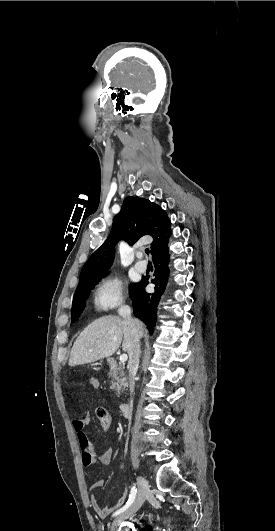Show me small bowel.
I'll return each mask as SVG.
<instances>
[{
	"mask_svg": "<svg viewBox=\"0 0 275 531\" xmlns=\"http://www.w3.org/2000/svg\"><path fill=\"white\" fill-rule=\"evenodd\" d=\"M77 381L80 382L81 385H83V388H88L90 391H98L100 389V384L96 382L97 376L93 373H90L87 376L85 375L81 376L80 379H78ZM88 421H89L88 415H82L74 419L72 422L73 429L77 434L78 443L83 451L84 449L88 447L91 448V442L85 432V427ZM111 459H112V449L106 448L103 451L95 454L89 461V464L101 463V464L107 465L111 462ZM83 460H84V457H83ZM103 486H104L103 479H97L90 486L91 495L89 498V503H90L91 508L94 510V512L97 514V516L100 519H106L112 512L119 509L124 504L126 497H127V493L124 492L115 501H113L109 506L102 507L97 497L94 495V492Z\"/></svg>",
	"mask_w": 275,
	"mask_h": 531,
	"instance_id": "obj_1",
	"label": "small bowel"
}]
</instances>
